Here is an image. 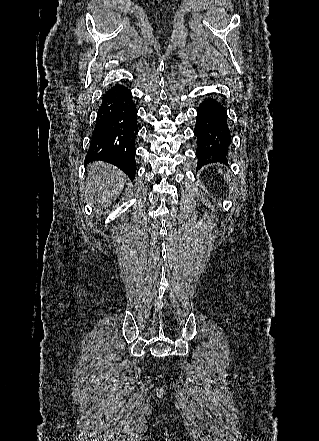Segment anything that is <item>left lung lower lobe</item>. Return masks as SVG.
<instances>
[{
	"instance_id": "1",
	"label": "left lung lower lobe",
	"mask_w": 319,
	"mask_h": 441,
	"mask_svg": "<svg viewBox=\"0 0 319 441\" xmlns=\"http://www.w3.org/2000/svg\"><path fill=\"white\" fill-rule=\"evenodd\" d=\"M227 118L225 108L217 100L208 98L200 104L194 128L198 168L211 162L228 163L231 133Z\"/></svg>"
}]
</instances>
